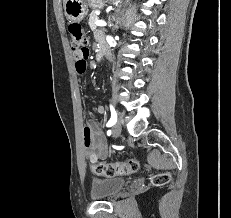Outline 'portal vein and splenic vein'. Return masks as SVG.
<instances>
[{"mask_svg": "<svg viewBox=\"0 0 231 218\" xmlns=\"http://www.w3.org/2000/svg\"><path fill=\"white\" fill-rule=\"evenodd\" d=\"M95 24L96 26H100V27L106 26V22L103 20H97Z\"/></svg>", "mask_w": 231, "mask_h": 218, "instance_id": "portal-vein-and-splenic-vein-1", "label": "portal vein and splenic vein"}]
</instances>
